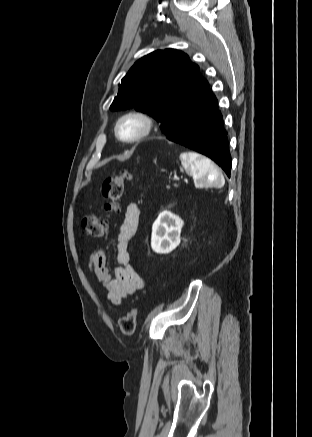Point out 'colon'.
<instances>
[{"label": "colon", "mask_w": 312, "mask_h": 437, "mask_svg": "<svg viewBox=\"0 0 312 437\" xmlns=\"http://www.w3.org/2000/svg\"><path fill=\"white\" fill-rule=\"evenodd\" d=\"M132 173L122 170L115 177L106 178L102 184V195L105 199L104 210L106 217L98 219L96 216L86 214L81 219V225L85 233L91 237L100 238L107 235L110 219L120 210V200L123 195L125 182L131 180ZM137 325V310L131 309L119 320V328L123 335L131 336Z\"/></svg>", "instance_id": "1"}]
</instances>
